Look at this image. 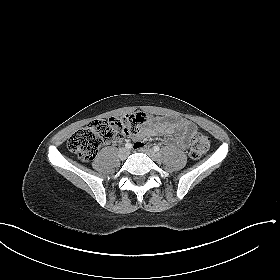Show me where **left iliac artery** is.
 <instances>
[{"instance_id": "1", "label": "left iliac artery", "mask_w": 280, "mask_h": 280, "mask_svg": "<svg viewBox=\"0 0 280 280\" xmlns=\"http://www.w3.org/2000/svg\"><path fill=\"white\" fill-rule=\"evenodd\" d=\"M154 151L158 152L160 150V147L159 146H154Z\"/></svg>"}]
</instances>
